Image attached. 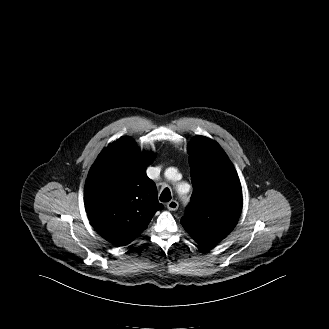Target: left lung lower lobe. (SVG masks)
Wrapping results in <instances>:
<instances>
[{"mask_svg": "<svg viewBox=\"0 0 329 329\" xmlns=\"http://www.w3.org/2000/svg\"><path fill=\"white\" fill-rule=\"evenodd\" d=\"M217 243H202L201 246L203 249H211Z\"/></svg>", "mask_w": 329, "mask_h": 329, "instance_id": "0a47b994", "label": "left lung lower lobe"}]
</instances>
